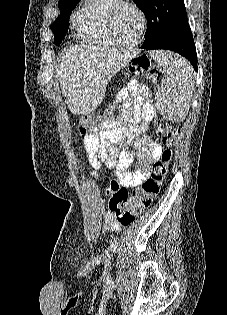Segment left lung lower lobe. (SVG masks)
<instances>
[{"label": "left lung lower lobe", "mask_w": 227, "mask_h": 315, "mask_svg": "<svg viewBox=\"0 0 227 315\" xmlns=\"http://www.w3.org/2000/svg\"><path fill=\"white\" fill-rule=\"evenodd\" d=\"M142 48L175 51L188 59L197 71L196 48L188 22L170 29L154 41L144 43Z\"/></svg>", "instance_id": "1"}]
</instances>
